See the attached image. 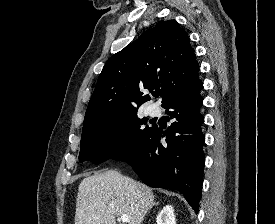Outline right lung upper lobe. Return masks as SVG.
<instances>
[{"instance_id":"1","label":"right lung upper lobe","mask_w":275,"mask_h":224,"mask_svg":"<svg viewBox=\"0 0 275 224\" xmlns=\"http://www.w3.org/2000/svg\"><path fill=\"white\" fill-rule=\"evenodd\" d=\"M189 37L175 20L160 21L104 65L85 114L83 128L137 111L150 100L141 89L163 92L162 105L197 76Z\"/></svg>"}]
</instances>
